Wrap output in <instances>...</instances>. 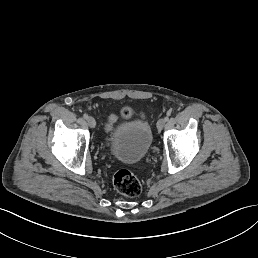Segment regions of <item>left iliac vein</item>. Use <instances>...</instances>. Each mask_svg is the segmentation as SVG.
<instances>
[{"label": "left iliac vein", "instance_id": "obj_1", "mask_svg": "<svg viewBox=\"0 0 258 258\" xmlns=\"http://www.w3.org/2000/svg\"><path fill=\"white\" fill-rule=\"evenodd\" d=\"M166 121L164 118H159L157 121V129L158 130H163L165 127Z\"/></svg>", "mask_w": 258, "mask_h": 258}]
</instances>
